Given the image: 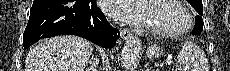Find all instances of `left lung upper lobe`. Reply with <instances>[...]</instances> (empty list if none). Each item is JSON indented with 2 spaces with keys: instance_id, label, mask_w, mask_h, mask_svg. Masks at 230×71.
Listing matches in <instances>:
<instances>
[{
  "instance_id": "left-lung-upper-lobe-1",
  "label": "left lung upper lobe",
  "mask_w": 230,
  "mask_h": 71,
  "mask_svg": "<svg viewBox=\"0 0 230 71\" xmlns=\"http://www.w3.org/2000/svg\"><path fill=\"white\" fill-rule=\"evenodd\" d=\"M192 7L199 13L200 16L203 15V5L202 0H187Z\"/></svg>"
}]
</instances>
